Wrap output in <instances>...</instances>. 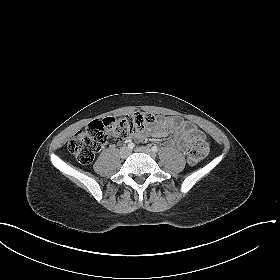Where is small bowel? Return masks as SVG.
I'll use <instances>...</instances> for the list:
<instances>
[{
	"mask_svg": "<svg viewBox=\"0 0 280 280\" xmlns=\"http://www.w3.org/2000/svg\"><path fill=\"white\" fill-rule=\"evenodd\" d=\"M170 133L177 135V143L183 150H186L198 131L195 125L180 118H161L155 127L135 134L134 138L142 140L144 136L164 137Z\"/></svg>",
	"mask_w": 280,
	"mask_h": 280,
	"instance_id": "1",
	"label": "small bowel"
}]
</instances>
